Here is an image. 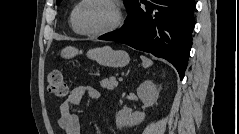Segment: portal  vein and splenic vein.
I'll return each instance as SVG.
<instances>
[{"mask_svg": "<svg viewBox=\"0 0 239 134\" xmlns=\"http://www.w3.org/2000/svg\"><path fill=\"white\" fill-rule=\"evenodd\" d=\"M119 81H122L123 80V77H119V79H118Z\"/></svg>", "mask_w": 239, "mask_h": 134, "instance_id": "1", "label": "portal vein and splenic vein"}]
</instances>
